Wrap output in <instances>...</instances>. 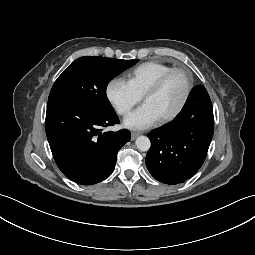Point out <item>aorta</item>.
<instances>
[{
    "instance_id": "1",
    "label": "aorta",
    "mask_w": 255,
    "mask_h": 255,
    "mask_svg": "<svg viewBox=\"0 0 255 255\" xmlns=\"http://www.w3.org/2000/svg\"><path fill=\"white\" fill-rule=\"evenodd\" d=\"M135 144L136 147L143 152L148 151L151 147L150 139L146 136L137 137Z\"/></svg>"
}]
</instances>
